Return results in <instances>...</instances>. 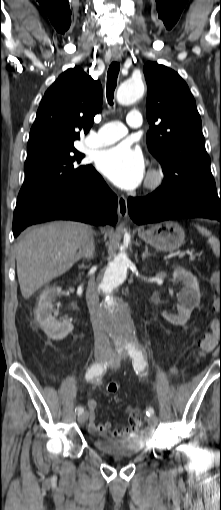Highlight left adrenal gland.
<instances>
[{
	"mask_svg": "<svg viewBox=\"0 0 221 510\" xmlns=\"http://www.w3.org/2000/svg\"><path fill=\"white\" fill-rule=\"evenodd\" d=\"M149 256H152V254L148 252V246H145V250H144V252L142 254V259L144 260V259H146Z\"/></svg>",
	"mask_w": 221,
	"mask_h": 510,
	"instance_id": "1",
	"label": "left adrenal gland"
}]
</instances>
